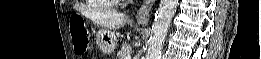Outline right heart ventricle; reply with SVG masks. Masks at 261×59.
Returning <instances> with one entry per match:
<instances>
[{
    "label": "right heart ventricle",
    "mask_w": 261,
    "mask_h": 59,
    "mask_svg": "<svg viewBox=\"0 0 261 59\" xmlns=\"http://www.w3.org/2000/svg\"><path fill=\"white\" fill-rule=\"evenodd\" d=\"M97 2L102 6H107V7L113 6L112 1L109 0H102V1L98 0Z\"/></svg>",
    "instance_id": "1"
}]
</instances>
